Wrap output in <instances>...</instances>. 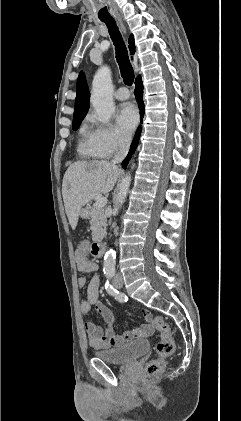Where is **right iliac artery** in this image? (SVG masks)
Segmentation results:
<instances>
[{
	"mask_svg": "<svg viewBox=\"0 0 241 421\" xmlns=\"http://www.w3.org/2000/svg\"><path fill=\"white\" fill-rule=\"evenodd\" d=\"M106 276H108V274L106 273ZM105 289L106 291L113 296L117 301L119 302H126L128 300L127 296L124 295L123 293H120L118 290H116L107 280L105 283Z\"/></svg>",
	"mask_w": 241,
	"mask_h": 421,
	"instance_id": "1",
	"label": "right iliac artery"
}]
</instances>
